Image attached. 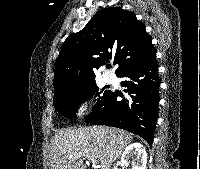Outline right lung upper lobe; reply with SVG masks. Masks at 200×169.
<instances>
[{
  "mask_svg": "<svg viewBox=\"0 0 200 169\" xmlns=\"http://www.w3.org/2000/svg\"><path fill=\"white\" fill-rule=\"evenodd\" d=\"M154 56L151 37L134 13L120 7L103 9L84 29L65 40L55 65L54 98L73 93L93 80L92 69L106 65L112 58L119 64L115 72L118 75Z\"/></svg>",
  "mask_w": 200,
  "mask_h": 169,
  "instance_id": "right-lung-upper-lobe-1",
  "label": "right lung upper lobe"
}]
</instances>
